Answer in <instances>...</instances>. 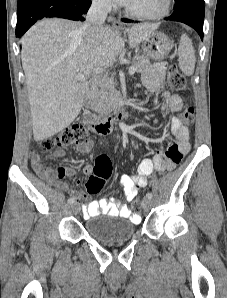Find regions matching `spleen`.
I'll return each mask as SVG.
<instances>
[{
  "label": "spleen",
  "instance_id": "obj_1",
  "mask_svg": "<svg viewBox=\"0 0 227 298\" xmlns=\"http://www.w3.org/2000/svg\"><path fill=\"white\" fill-rule=\"evenodd\" d=\"M179 68L187 76H191L195 69V51L192 41L186 34H182L178 47Z\"/></svg>",
  "mask_w": 227,
  "mask_h": 298
}]
</instances>
